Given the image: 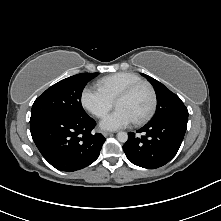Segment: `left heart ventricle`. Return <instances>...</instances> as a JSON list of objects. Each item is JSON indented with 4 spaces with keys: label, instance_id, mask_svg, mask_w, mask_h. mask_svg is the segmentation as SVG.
Instances as JSON below:
<instances>
[{
    "label": "left heart ventricle",
    "instance_id": "b2bd125f",
    "mask_svg": "<svg viewBox=\"0 0 221 221\" xmlns=\"http://www.w3.org/2000/svg\"><path fill=\"white\" fill-rule=\"evenodd\" d=\"M151 102L152 97L149 88L142 86L129 97L119 101L116 107L124 109L135 121L143 117L148 112Z\"/></svg>",
    "mask_w": 221,
    "mask_h": 221
}]
</instances>
